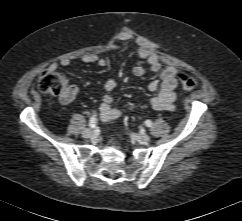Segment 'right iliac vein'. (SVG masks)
<instances>
[{
  "label": "right iliac vein",
  "mask_w": 242,
  "mask_h": 221,
  "mask_svg": "<svg viewBox=\"0 0 242 221\" xmlns=\"http://www.w3.org/2000/svg\"><path fill=\"white\" fill-rule=\"evenodd\" d=\"M93 133L94 132L91 129H85L82 132V135H83L84 138H90V137H92Z\"/></svg>",
  "instance_id": "obj_1"
}]
</instances>
